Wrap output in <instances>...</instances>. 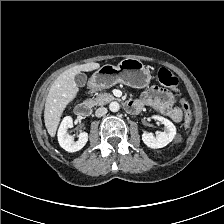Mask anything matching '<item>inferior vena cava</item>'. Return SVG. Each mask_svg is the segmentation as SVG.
Segmentation results:
<instances>
[{"instance_id":"inferior-vena-cava-1","label":"inferior vena cava","mask_w":224,"mask_h":224,"mask_svg":"<svg viewBox=\"0 0 224 224\" xmlns=\"http://www.w3.org/2000/svg\"><path fill=\"white\" fill-rule=\"evenodd\" d=\"M107 113V108L105 107H100L95 111L96 117H102Z\"/></svg>"}]
</instances>
